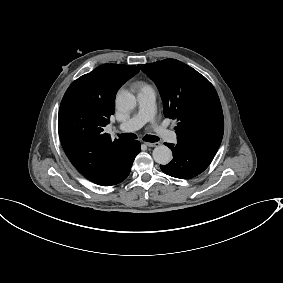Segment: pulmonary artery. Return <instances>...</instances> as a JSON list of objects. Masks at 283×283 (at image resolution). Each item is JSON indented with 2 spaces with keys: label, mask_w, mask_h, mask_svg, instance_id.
<instances>
[{
  "label": "pulmonary artery",
  "mask_w": 283,
  "mask_h": 283,
  "mask_svg": "<svg viewBox=\"0 0 283 283\" xmlns=\"http://www.w3.org/2000/svg\"><path fill=\"white\" fill-rule=\"evenodd\" d=\"M138 108L132 117L119 123L117 128L121 132H134L141 128L146 122L147 126L159 137H163L170 143L177 140L178 135L167 126L161 124L155 119L156 116V95L154 90L148 86H142L137 92Z\"/></svg>",
  "instance_id": "e3ab8cb5"
}]
</instances>
